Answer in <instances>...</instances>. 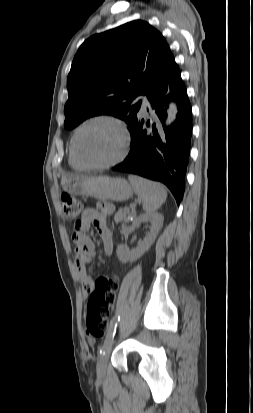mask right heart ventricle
Listing matches in <instances>:
<instances>
[{
	"instance_id": "1",
	"label": "right heart ventricle",
	"mask_w": 253,
	"mask_h": 413,
	"mask_svg": "<svg viewBox=\"0 0 253 413\" xmlns=\"http://www.w3.org/2000/svg\"><path fill=\"white\" fill-rule=\"evenodd\" d=\"M68 162H69L70 166L75 168V169H81L82 168V166L79 165L78 162L73 157L72 150H71V143L69 145V150H68Z\"/></svg>"
}]
</instances>
